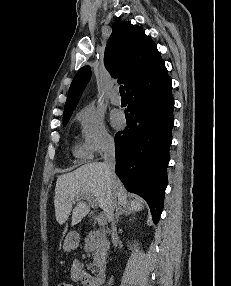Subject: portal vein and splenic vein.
Masks as SVG:
<instances>
[{"instance_id":"portal-vein-and-splenic-vein-1","label":"portal vein and splenic vein","mask_w":231,"mask_h":286,"mask_svg":"<svg viewBox=\"0 0 231 286\" xmlns=\"http://www.w3.org/2000/svg\"><path fill=\"white\" fill-rule=\"evenodd\" d=\"M84 198L89 202L91 207H95L96 206L97 202H96V200L93 197L85 196ZM79 200L80 199H76L75 201H73V203H75L76 201H79ZM97 222H98V224L100 226H103L106 223V216H105V214L100 213L98 215Z\"/></svg>"}]
</instances>
